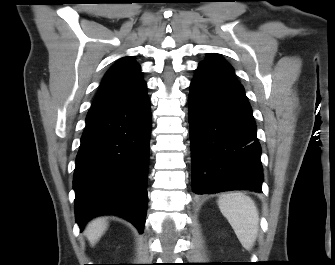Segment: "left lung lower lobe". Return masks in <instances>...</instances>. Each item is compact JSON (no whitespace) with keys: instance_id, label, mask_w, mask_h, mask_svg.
Wrapping results in <instances>:
<instances>
[{"instance_id":"left-lung-lower-lobe-1","label":"left lung lower lobe","mask_w":335,"mask_h":265,"mask_svg":"<svg viewBox=\"0 0 335 265\" xmlns=\"http://www.w3.org/2000/svg\"><path fill=\"white\" fill-rule=\"evenodd\" d=\"M188 103L193 191L262 192L256 124L234 73L198 66Z\"/></svg>"}]
</instances>
